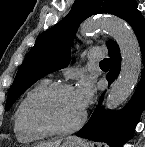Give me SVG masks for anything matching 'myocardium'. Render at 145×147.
Instances as JSON below:
<instances>
[{"mask_svg":"<svg viewBox=\"0 0 145 147\" xmlns=\"http://www.w3.org/2000/svg\"><path fill=\"white\" fill-rule=\"evenodd\" d=\"M69 90H73V87L69 84H54L36 93L28 102L26 108L27 121L53 135H67L78 130L86 120L87 114L85 110H83L80 119L68 127L57 125L46 110V104L49 100Z\"/></svg>","mask_w":145,"mask_h":147,"instance_id":"obj_1","label":"myocardium"}]
</instances>
